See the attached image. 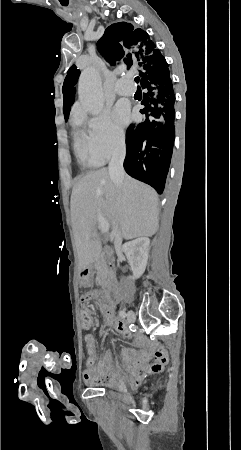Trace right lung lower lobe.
<instances>
[{
    "label": "right lung lower lobe",
    "instance_id": "obj_1",
    "mask_svg": "<svg viewBox=\"0 0 241 450\" xmlns=\"http://www.w3.org/2000/svg\"><path fill=\"white\" fill-rule=\"evenodd\" d=\"M141 86L146 89L141 102L145 108L143 123L131 125L126 132L125 171L163 192L175 138V95L166 60L140 71Z\"/></svg>",
    "mask_w": 241,
    "mask_h": 450
}]
</instances>
